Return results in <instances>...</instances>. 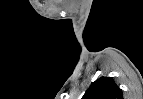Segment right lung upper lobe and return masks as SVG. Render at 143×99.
<instances>
[{"mask_svg": "<svg viewBox=\"0 0 143 99\" xmlns=\"http://www.w3.org/2000/svg\"><path fill=\"white\" fill-rule=\"evenodd\" d=\"M82 99H123V94L113 78L100 77L92 83Z\"/></svg>", "mask_w": 143, "mask_h": 99, "instance_id": "cb5924a9", "label": "right lung upper lobe"}]
</instances>
